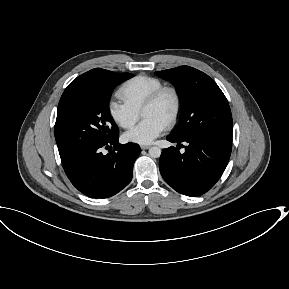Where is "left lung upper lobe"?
Returning a JSON list of instances; mask_svg holds the SVG:
<instances>
[{"label": "left lung upper lobe", "instance_id": "left-lung-upper-lobe-1", "mask_svg": "<svg viewBox=\"0 0 289 289\" xmlns=\"http://www.w3.org/2000/svg\"><path fill=\"white\" fill-rule=\"evenodd\" d=\"M156 74L171 81L181 99V116L172 135L177 138L192 135L231 138L230 107L212 78L190 66L158 71Z\"/></svg>", "mask_w": 289, "mask_h": 289}]
</instances>
